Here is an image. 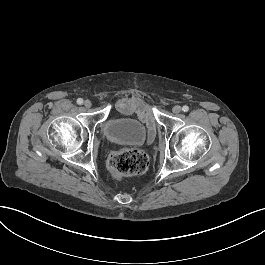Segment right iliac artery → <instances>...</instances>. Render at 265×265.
<instances>
[{
    "instance_id": "1",
    "label": "right iliac artery",
    "mask_w": 265,
    "mask_h": 265,
    "mask_svg": "<svg viewBox=\"0 0 265 265\" xmlns=\"http://www.w3.org/2000/svg\"><path fill=\"white\" fill-rule=\"evenodd\" d=\"M77 104L82 105L83 104V99L82 98H78L77 99Z\"/></svg>"
}]
</instances>
